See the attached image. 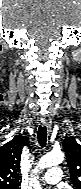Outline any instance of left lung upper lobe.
Instances as JSON below:
<instances>
[{
	"label": "left lung upper lobe",
	"instance_id": "5c2ea615",
	"mask_svg": "<svg viewBox=\"0 0 81 189\" xmlns=\"http://www.w3.org/2000/svg\"><path fill=\"white\" fill-rule=\"evenodd\" d=\"M63 148L68 161L70 179L76 189H81V145L74 137H67Z\"/></svg>",
	"mask_w": 81,
	"mask_h": 189
}]
</instances>
